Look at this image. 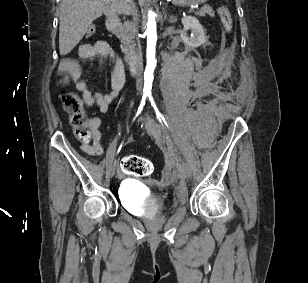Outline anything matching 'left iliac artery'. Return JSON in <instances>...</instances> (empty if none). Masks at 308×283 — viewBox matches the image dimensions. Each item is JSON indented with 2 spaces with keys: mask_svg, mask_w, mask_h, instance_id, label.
Here are the masks:
<instances>
[{
  "mask_svg": "<svg viewBox=\"0 0 308 283\" xmlns=\"http://www.w3.org/2000/svg\"><path fill=\"white\" fill-rule=\"evenodd\" d=\"M147 95H148V97H149V100H150L152 103H154V102H153V98H152L150 92H148ZM152 105H154V104H152ZM156 115H157V118H158V120H159V122H160V124H161V126H162V128H163V130L165 131V133H166L168 136H169V133H170L171 136L173 137V136H174L173 130H172V128L169 126L167 120H166V119L159 113V111H157V110H156ZM168 138H169V137H167V139H168Z\"/></svg>",
  "mask_w": 308,
  "mask_h": 283,
  "instance_id": "44dca946",
  "label": "left iliac artery"
}]
</instances>
